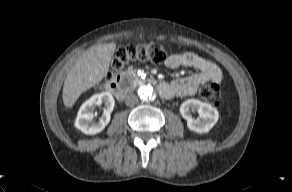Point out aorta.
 Listing matches in <instances>:
<instances>
[{
  "instance_id": "obj_1",
  "label": "aorta",
  "mask_w": 292,
  "mask_h": 192,
  "mask_svg": "<svg viewBox=\"0 0 292 192\" xmlns=\"http://www.w3.org/2000/svg\"><path fill=\"white\" fill-rule=\"evenodd\" d=\"M137 93L140 99L144 102L150 101L153 98H155V91L151 85H147V84L141 85L138 88Z\"/></svg>"
}]
</instances>
